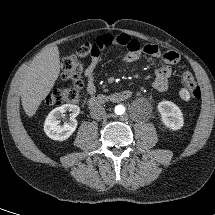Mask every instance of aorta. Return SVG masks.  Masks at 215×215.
Wrapping results in <instances>:
<instances>
[{
	"label": "aorta",
	"instance_id": "aorta-1",
	"mask_svg": "<svg viewBox=\"0 0 215 215\" xmlns=\"http://www.w3.org/2000/svg\"><path fill=\"white\" fill-rule=\"evenodd\" d=\"M124 112H125L124 106L118 105V106L115 107V113L117 115H122V114H124Z\"/></svg>",
	"mask_w": 215,
	"mask_h": 215
}]
</instances>
